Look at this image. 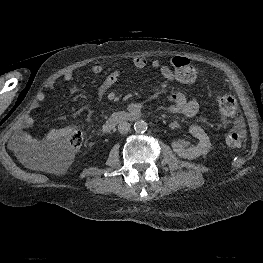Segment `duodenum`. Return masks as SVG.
Here are the masks:
<instances>
[{"label": "duodenum", "instance_id": "duodenum-1", "mask_svg": "<svg viewBox=\"0 0 263 263\" xmlns=\"http://www.w3.org/2000/svg\"><path fill=\"white\" fill-rule=\"evenodd\" d=\"M143 107L140 104H130L125 108L112 113L103 124L105 132L110 131L115 125L124 121L137 120L141 117Z\"/></svg>", "mask_w": 263, "mask_h": 263}]
</instances>
